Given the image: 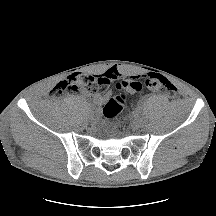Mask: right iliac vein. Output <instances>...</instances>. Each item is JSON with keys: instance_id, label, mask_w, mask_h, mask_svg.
I'll return each instance as SVG.
<instances>
[{"instance_id": "right-iliac-vein-1", "label": "right iliac vein", "mask_w": 216, "mask_h": 216, "mask_svg": "<svg viewBox=\"0 0 216 216\" xmlns=\"http://www.w3.org/2000/svg\"><path fill=\"white\" fill-rule=\"evenodd\" d=\"M89 119H90L91 121H94V116L91 115V116L89 117Z\"/></svg>"}]
</instances>
